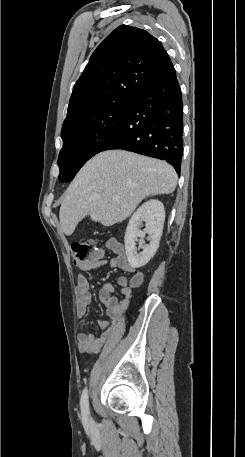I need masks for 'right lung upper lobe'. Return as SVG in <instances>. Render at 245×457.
<instances>
[{"label": "right lung upper lobe", "mask_w": 245, "mask_h": 457, "mask_svg": "<svg viewBox=\"0 0 245 457\" xmlns=\"http://www.w3.org/2000/svg\"><path fill=\"white\" fill-rule=\"evenodd\" d=\"M176 71L147 31L121 25L94 51L75 83L64 122L118 101H133L149 84Z\"/></svg>", "instance_id": "right-lung-upper-lobe-1"}]
</instances>
